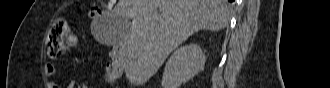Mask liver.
Masks as SVG:
<instances>
[{
  "instance_id": "liver-1",
  "label": "liver",
  "mask_w": 330,
  "mask_h": 88,
  "mask_svg": "<svg viewBox=\"0 0 330 88\" xmlns=\"http://www.w3.org/2000/svg\"><path fill=\"white\" fill-rule=\"evenodd\" d=\"M159 8V11H158ZM132 20L119 33L123 69L131 84L147 82L168 55L199 30L220 31L229 20L227 0H119L107 25ZM109 44L107 39H104Z\"/></svg>"
}]
</instances>
